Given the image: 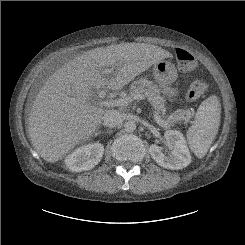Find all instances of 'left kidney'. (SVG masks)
Listing matches in <instances>:
<instances>
[{
	"mask_svg": "<svg viewBox=\"0 0 245 245\" xmlns=\"http://www.w3.org/2000/svg\"><path fill=\"white\" fill-rule=\"evenodd\" d=\"M164 137L172 150L171 155L166 156L162 147L152 144L149 148L151 157L166 169L178 170L187 167L191 163V155L183 134L177 130H167Z\"/></svg>",
	"mask_w": 245,
	"mask_h": 245,
	"instance_id": "1",
	"label": "left kidney"
}]
</instances>
